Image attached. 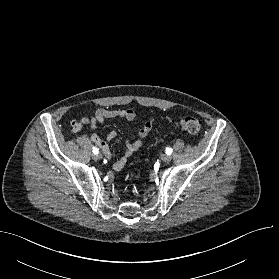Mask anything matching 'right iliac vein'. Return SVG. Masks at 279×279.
I'll return each mask as SVG.
<instances>
[{
  "label": "right iliac vein",
  "mask_w": 279,
  "mask_h": 279,
  "mask_svg": "<svg viewBox=\"0 0 279 279\" xmlns=\"http://www.w3.org/2000/svg\"><path fill=\"white\" fill-rule=\"evenodd\" d=\"M93 158H94L95 160H100V159L102 158V155H101V154H95V155L93 156Z\"/></svg>",
  "instance_id": "obj_1"
}]
</instances>
